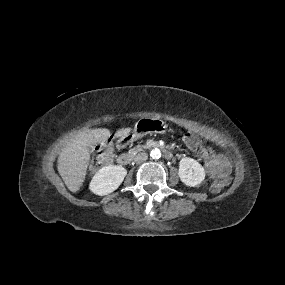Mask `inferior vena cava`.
I'll use <instances>...</instances> for the list:
<instances>
[{
    "label": "inferior vena cava",
    "mask_w": 285,
    "mask_h": 285,
    "mask_svg": "<svg viewBox=\"0 0 285 285\" xmlns=\"http://www.w3.org/2000/svg\"><path fill=\"white\" fill-rule=\"evenodd\" d=\"M147 159H148L147 153L142 152V153H139L135 156L134 161L136 163H141V162L146 161Z\"/></svg>",
    "instance_id": "1"
}]
</instances>
